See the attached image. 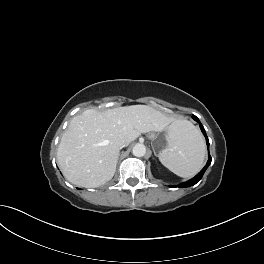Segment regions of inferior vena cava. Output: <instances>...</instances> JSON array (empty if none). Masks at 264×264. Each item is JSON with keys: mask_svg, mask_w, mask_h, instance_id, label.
I'll list each match as a JSON object with an SVG mask.
<instances>
[{"mask_svg": "<svg viewBox=\"0 0 264 264\" xmlns=\"http://www.w3.org/2000/svg\"><path fill=\"white\" fill-rule=\"evenodd\" d=\"M125 146H126V144H125L124 141L119 142V147H120V148H123V147H125Z\"/></svg>", "mask_w": 264, "mask_h": 264, "instance_id": "1", "label": "inferior vena cava"}]
</instances>
